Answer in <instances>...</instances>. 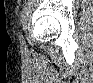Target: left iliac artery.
<instances>
[{
    "instance_id": "1",
    "label": "left iliac artery",
    "mask_w": 93,
    "mask_h": 83,
    "mask_svg": "<svg viewBox=\"0 0 93 83\" xmlns=\"http://www.w3.org/2000/svg\"><path fill=\"white\" fill-rule=\"evenodd\" d=\"M19 41H20L21 44H24L25 43L22 34L19 35Z\"/></svg>"
}]
</instances>
